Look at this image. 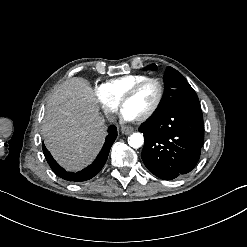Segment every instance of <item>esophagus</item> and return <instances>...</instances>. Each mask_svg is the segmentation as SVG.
Segmentation results:
<instances>
[{
  "label": "esophagus",
  "instance_id": "1",
  "mask_svg": "<svg viewBox=\"0 0 247 247\" xmlns=\"http://www.w3.org/2000/svg\"><path fill=\"white\" fill-rule=\"evenodd\" d=\"M133 130H134V128L131 126H127V125L121 126V133L124 135L131 134L133 132Z\"/></svg>",
  "mask_w": 247,
  "mask_h": 247
}]
</instances>
